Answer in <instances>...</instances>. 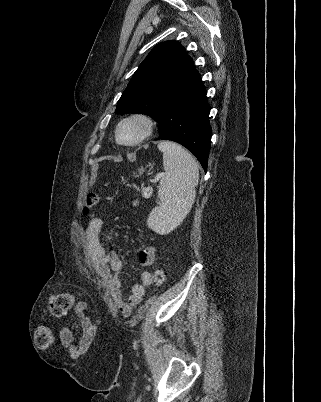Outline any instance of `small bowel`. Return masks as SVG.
<instances>
[{
	"label": "small bowel",
	"instance_id": "1",
	"mask_svg": "<svg viewBox=\"0 0 321 402\" xmlns=\"http://www.w3.org/2000/svg\"><path fill=\"white\" fill-rule=\"evenodd\" d=\"M102 224L103 221L100 217H92L86 232L94 269L99 276L106 280L116 307L123 316L127 317L132 313L133 308L142 302L146 288L151 283V275L148 271H142L140 282L133 285L129 298H124L119 275L123 263L122 257L117 250L107 249L102 244L99 236ZM155 253V247L152 245L143 248L138 254L139 264L144 268L151 266L154 263ZM75 308L76 315H82V318H87V313H84L86 308L84 302H77ZM82 327L85 334L79 336L80 344L73 343L69 329L60 328L57 330L60 341L68 349L71 358H84L87 347H92L93 345L91 335H96L97 333L95 322L93 320H84Z\"/></svg>",
	"mask_w": 321,
	"mask_h": 402
}]
</instances>
